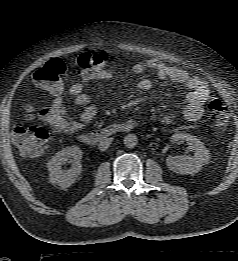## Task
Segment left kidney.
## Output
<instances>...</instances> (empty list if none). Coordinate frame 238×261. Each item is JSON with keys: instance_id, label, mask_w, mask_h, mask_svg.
Segmentation results:
<instances>
[{"instance_id": "1", "label": "left kidney", "mask_w": 238, "mask_h": 261, "mask_svg": "<svg viewBox=\"0 0 238 261\" xmlns=\"http://www.w3.org/2000/svg\"><path fill=\"white\" fill-rule=\"evenodd\" d=\"M171 141L174 143L186 141L188 149L194 152L192 157L168 156L166 164L171 171L179 174H195L209 162V150L197 137L189 133H176L172 135Z\"/></svg>"}]
</instances>
